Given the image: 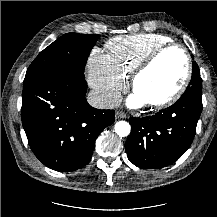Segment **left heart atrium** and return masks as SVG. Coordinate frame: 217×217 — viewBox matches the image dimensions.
Listing matches in <instances>:
<instances>
[{
	"mask_svg": "<svg viewBox=\"0 0 217 217\" xmlns=\"http://www.w3.org/2000/svg\"><path fill=\"white\" fill-rule=\"evenodd\" d=\"M144 101L137 95L134 94L131 98H130V103L132 105L138 106L141 105Z\"/></svg>",
	"mask_w": 217,
	"mask_h": 217,
	"instance_id": "left-heart-atrium-1",
	"label": "left heart atrium"
}]
</instances>
